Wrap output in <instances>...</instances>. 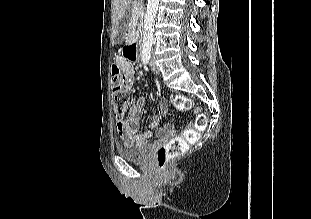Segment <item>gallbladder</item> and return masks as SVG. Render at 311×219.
Instances as JSON below:
<instances>
[{"mask_svg":"<svg viewBox=\"0 0 311 219\" xmlns=\"http://www.w3.org/2000/svg\"><path fill=\"white\" fill-rule=\"evenodd\" d=\"M126 27H127V16H123V18L120 19L119 21V27L116 32V37H115L116 43H120L122 39L124 38V31Z\"/></svg>","mask_w":311,"mask_h":219,"instance_id":"obj_1","label":"gallbladder"}]
</instances>
